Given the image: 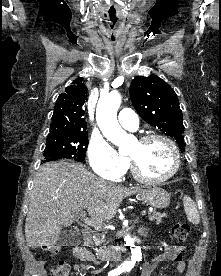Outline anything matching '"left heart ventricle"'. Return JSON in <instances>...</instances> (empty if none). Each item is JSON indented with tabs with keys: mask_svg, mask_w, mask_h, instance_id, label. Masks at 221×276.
I'll return each instance as SVG.
<instances>
[{
	"mask_svg": "<svg viewBox=\"0 0 221 276\" xmlns=\"http://www.w3.org/2000/svg\"><path fill=\"white\" fill-rule=\"evenodd\" d=\"M141 171L149 177H161L168 174L174 166L170 147L162 140L154 139L146 143L135 142L129 151Z\"/></svg>",
	"mask_w": 221,
	"mask_h": 276,
	"instance_id": "obj_1",
	"label": "left heart ventricle"
}]
</instances>
